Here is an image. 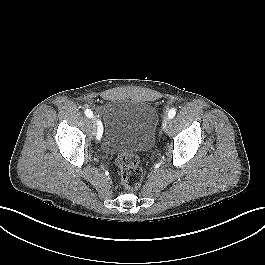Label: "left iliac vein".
Returning <instances> with one entry per match:
<instances>
[{"label":"left iliac vein","instance_id":"4c4485c4","mask_svg":"<svg viewBox=\"0 0 265 265\" xmlns=\"http://www.w3.org/2000/svg\"><path fill=\"white\" fill-rule=\"evenodd\" d=\"M168 126H169V117L165 116L162 123L164 131L168 130Z\"/></svg>","mask_w":265,"mask_h":265}]
</instances>
